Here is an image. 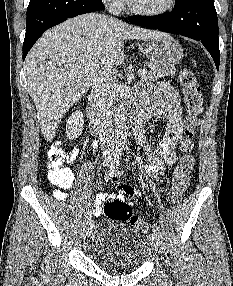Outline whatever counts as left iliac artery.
I'll list each match as a JSON object with an SVG mask.
<instances>
[{
	"label": "left iliac artery",
	"instance_id": "1",
	"mask_svg": "<svg viewBox=\"0 0 233 286\" xmlns=\"http://www.w3.org/2000/svg\"><path fill=\"white\" fill-rule=\"evenodd\" d=\"M152 230L156 235L160 233L159 227L155 224L152 226Z\"/></svg>",
	"mask_w": 233,
	"mask_h": 286
}]
</instances>
